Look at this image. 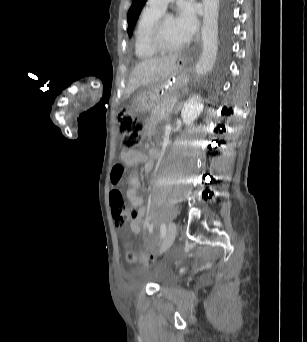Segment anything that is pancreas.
Instances as JSON below:
<instances>
[{
  "mask_svg": "<svg viewBox=\"0 0 307 342\" xmlns=\"http://www.w3.org/2000/svg\"><path fill=\"white\" fill-rule=\"evenodd\" d=\"M161 99L164 101L165 104H173L175 101H177L178 96L177 94H163L161 96ZM165 104H161L160 108H154L152 114L153 116H157L159 120H163V118H168L169 111L165 107Z\"/></svg>",
  "mask_w": 307,
  "mask_h": 342,
  "instance_id": "obj_1",
  "label": "pancreas"
}]
</instances>
